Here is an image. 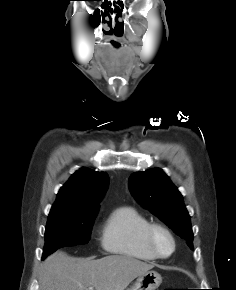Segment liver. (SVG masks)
<instances>
[{
    "instance_id": "6515ba94",
    "label": "liver",
    "mask_w": 236,
    "mask_h": 290,
    "mask_svg": "<svg viewBox=\"0 0 236 290\" xmlns=\"http://www.w3.org/2000/svg\"><path fill=\"white\" fill-rule=\"evenodd\" d=\"M154 267L133 257L110 255L101 259L75 258L57 251L39 273L40 290H124Z\"/></svg>"
}]
</instances>
